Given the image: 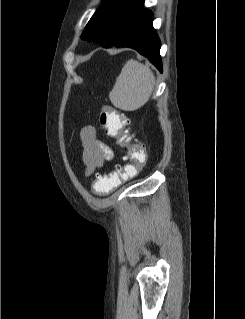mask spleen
I'll return each mask as SVG.
<instances>
[{"label":"spleen","instance_id":"3e777b00","mask_svg":"<svg viewBox=\"0 0 245 319\" xmlns=\"http://www.w3.org/2000/svg\"><path fill=\"white\" fill-rule=\"evenodd\" d=\"M155 76L148 65L134 59L126 62L109 94L112 104L125 111H135L152 95Z\"/></svg>","mask_w":245,"mask_h":319}]
</instances>
